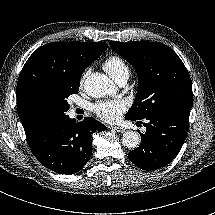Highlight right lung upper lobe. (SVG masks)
I'll return each instance as SVG.
<instances>
[{
	"instance_id": "right-lung-upper-lobe-1",
	"label": "right lung upper lobe",
	"mask_w": 215,
	"mask_h": 215,
	"mask_svg": "<svg viewBox=\"0 0 215 215\" xmlns=\"http://www.w3.org/2000/svg\"><path fill=\"white\" fill-rule=\"evenodd\" d=\"M104 42L49 43L37 49L26 61L17 82V109L28 144L47 125L30 105L32 94L39 89H54L65 83H80L84 70L107 49Z\"/></svg>"
}]
</instances>
